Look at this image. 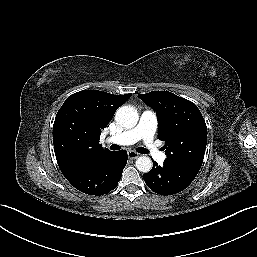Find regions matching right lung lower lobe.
Here are the masks:
<instances>
[{"instance_id": "98d812e1", "label": "right lung lower lobe", "mask_w": 257, "mask_h": 257, "mask_svg": "<svg viewBox=\"0 0 257 257\" xmlns=\"http://www.w3.org/2000/svg\"><path fill=\"white\" fill-rule=\"evenodd\" d=\"M127 159L125 150L110 152L80 170L65 172L63 175L77 190L100 196L116 188Z\"/></svg>"}]
</instances>
